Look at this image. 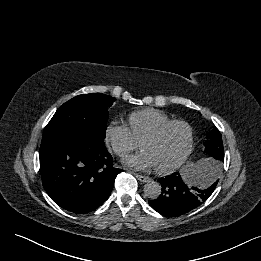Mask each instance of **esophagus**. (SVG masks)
I'll use <instances>...</instances> for the list:
<instances>
[{
	"label": "esophagus",
	"instance_id": "1",
	"mask_svg": "<svg viewBox=\"0 0 261 261\" xmlns=\"http://www.w3.org/2000/svg\"><path fill=\"white\" fill-rule=\"evenodd\" d=\"M135 176H136V178H137L139 181H141V182H143V183H146V182L150 181V178L147 177V176H143V175H140V174H135Z\"/></svg>",
	"mask_w": 261,
	"mask_h": 261
}]
</instances>
